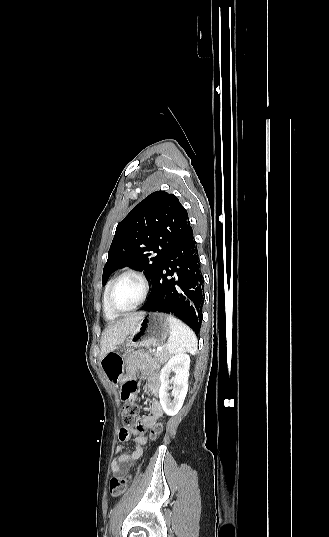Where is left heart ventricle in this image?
<instances>
[{
	"label": "left heart ventricle",
	"mask_w": 329,
	"mask_h": 537,
	"mask_svg": "<svg viewBox=\"0 0 329 537\" xmlns=\"http://www.w3.org/2000/svg\"><path fill=\"white\" fill-rule=\"evenodd\" d=\"M143 287L138 278L126 276L116 285L113 295V305L120 310L132 307L141 298Z\"/></svg>",
	"instance_id": "1"
}]
</instances>
